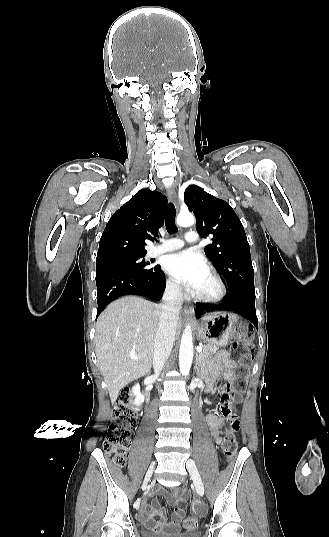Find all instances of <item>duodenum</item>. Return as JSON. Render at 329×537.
<instances>
[{"instance_id":"1","label":"duodenum","mask_w":329,"mask_h":537,"mask_svg":"<svg viewBox=\"0 0 329 537\" xmlns=\"http://www.w3.org/2000/svg\"><path fill=\"white\" fill-rule=\"evenodd\" d=\"M144 393H145V396H146V400L149 401V391H148L147 388H145Z\"/></svg>"}]
</instances>
